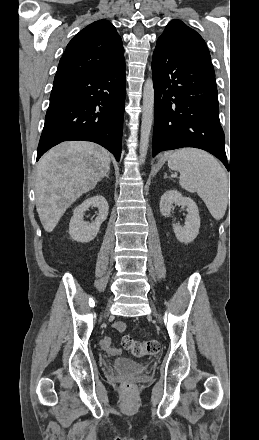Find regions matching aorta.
<instances>
[{
    "label": "aorta",
    "mask_w": 259,
    "mask_h": 440,
    "mask_svg": "<svg viewBox=\"0 0 259 440\" xmlns=\"http://www.w3.org/2000/svg\"><path fill=\"white\" fill-rule=\"evenodd\" d=\"M154 87L151 78L144 84L143 109L140 135V162L144 163L149 146V137L153 124Z\"/></svg>",
    "instance_id": "1"
}]
</instances>
